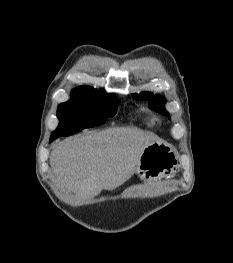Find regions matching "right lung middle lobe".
<instances>
[{
  "mask_svg": "<svg viewBox=\"0 0 233 263\" xmlns=\"http://www.w3.org/2000/svg\"><path fill=\"white\" fill-rule=\"evenodd\" d=\"M118 104V98L113 95L75 97L61 103L57 110L59 126L52 133L50 141L103 124L116 114Z\"/></svg>",
  "mask_w": 233,
  "mask_h": 263,
  "instance_id": "right-lung-middle-lobe-1",
  "label": "right lung middle lobe"
}]
</instances>
